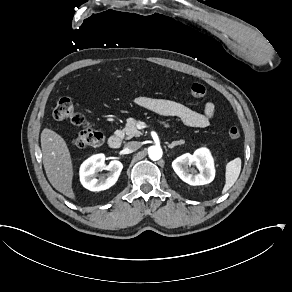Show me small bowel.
Instances as JSON below:
<instances>
[{"label": "small bowel", "instance_id": "c3829d8e", "mask_svg": "<svg viewBox=\"0 0 292 292\" xmlns=\"http://www.w3.org/2000/svg\"><path fill=\"white\" fill-rule=\"evenodd\" d=\"M134 102L139 107L158 114L177 117L184 124L195 128L207 127L215 115V105L210 101L204 104L201 112L195 111L172 100L147 96H138L135 98Z\"/></svg>", "mask_w": 292, "mask_h": 292}]
</instances>
